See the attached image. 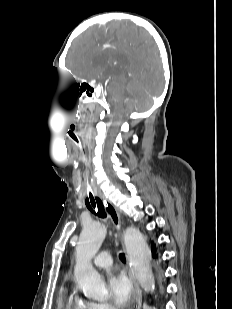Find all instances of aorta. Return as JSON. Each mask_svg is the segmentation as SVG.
Returning a JSON list of instances; mask_svg holds the SVG:
<instances>
[{
    "label": "aorta",
    "mask_w": 232,
    "mask_h": 309,
    "mask_svg": "<svg viewBox=\"0 0 232 309\" xmlns=\"http://www.w3.org/2000/svg\"><path fill=\"white\" fill-rule=\"evenodd\" d=\"M105 235L104 225L91 220L84 225L76 246L75 282L86 297L98 301L107 299L108 290L100 274L92 267L91 260L99 251ZM124 242L135 278L145 291L153 292L155 281L145 237L138 229L129 227L125 231Z\"/></svg>",
    "instance_id": "762f6f07"
}]
</instances>
